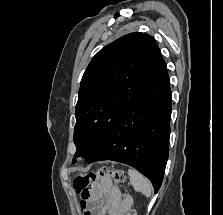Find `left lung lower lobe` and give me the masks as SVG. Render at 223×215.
<instances>
[{"mask_svg":"<svg viewBox=\"0 0 223 215\" xmlns=\"http://www.w3.org/2000/svg\"><path fill=\"white\" fill-rule=\"evenodd\" d=\"M171 102L164 62L88 163L113 160L128 164L150 179L157 193L169 153Z\"/></svg>","mask_w":223,"mask_h":215,"instance_id":"left-lung-lower-lobe-1","label":"left lung lower lobe"}]
</instances>
